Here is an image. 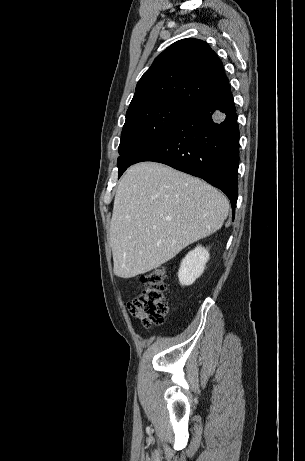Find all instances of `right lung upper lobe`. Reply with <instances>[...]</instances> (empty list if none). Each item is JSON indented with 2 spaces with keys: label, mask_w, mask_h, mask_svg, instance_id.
<instances>
[{
  "label": "right lung upper lobe",
  "mask_w": 305,
  "mask_h": 461,
  "mask_svg": "<svg viewBox=\"0 0 305 461\" xmlns=\"http://www.w3.org/2000/svg\"><path fill=\"white\" fill-rule=\"evenodd\" d=\"M227 83L222 62L206 42L182 39L143 74L127 113L166 102L190 106Z\"/></svg>",
  "instance_id": "1"
}]
</instances>
